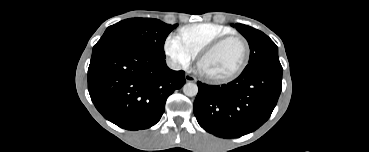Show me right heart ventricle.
<instances>
[{
    "label": "right heart ventricle",
    "mask_w": 369,
    "mask_h": 152,
    "mask_svg": "<svg viewBox=\"0 0 369 152\" xmlns=\"http://www.w3.org/2000/svg\"><path fill=\"white\" fill-rule=\"evenodd\" d=\"M233 33L234 30L232 28L211 22L187 25L182 27L179 32L183 41L197 55L216 39Z\"/></svg>",
    "instance_id": "1"
}]
</instances>
